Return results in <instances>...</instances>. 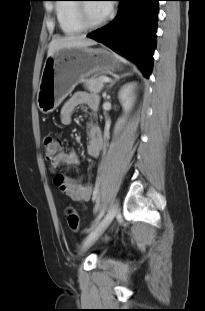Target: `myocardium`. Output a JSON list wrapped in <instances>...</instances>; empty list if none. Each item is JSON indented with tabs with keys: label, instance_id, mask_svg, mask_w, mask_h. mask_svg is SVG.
Masks as SVG:
<instances>
[{
	"label": "myocardium",
	"instance_id": "obj_1",
	"mask_svg": "<svg viewBox=\"0 0 205 311\" xmlns=\"http://www.w3.org/2000/svg\"><path fill=\"white\" fill-rule=\"evenodd\" d=\"M87 6L86 3L80 2L76 4V15L80 25L84 30H96L104 26L108 21V16L106 15L101 21L97 23H91L87 16Z\"/></svg>",
	"mask_w": 205,
	"mask_h": 311
}]
</instances>
